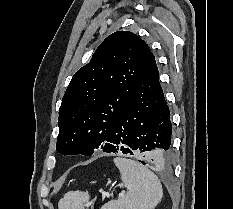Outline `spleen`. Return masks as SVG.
<instances>
[{
	"label": "spleen",
	"instance_id": "1",
	"mask_svg": "<svg viewBox=\"0 0 233 209\" xmlns=\"http://www.w3.org/2000/svg\"><path fill=\"white\" fill-rule=\"evenodd\" d=\"M122 184L128 192L118 200H111L101 209H154L163 196L162 185L158 177L142 164L126 159L114 158ZM88 192L69 191L58 203L59 209H85L89 203Z\"/></svg>",
	"mask_w": 233,
	"mask_h": 209
}]
</instances>
